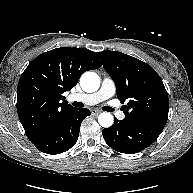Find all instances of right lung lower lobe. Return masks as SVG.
<instances>
[{
    "mask_svg": "<svg viewBox=\"0 0 193 193\" xmlns=\"http://www.w3.org/2000/svg\"><path fill=\"white\" fill-rule=\"evenodd\" d=\"M90 114V111L86 108H75L55 123L44 135L31 142L44 153H63L75 145L81 122Z\"/></svg>",
    "mask_w": 193,
    "mask_h": 193,
    "instance_id": "98d812e1",
    "label": "right lung lower lobe"
}]
</instances>
